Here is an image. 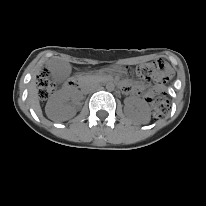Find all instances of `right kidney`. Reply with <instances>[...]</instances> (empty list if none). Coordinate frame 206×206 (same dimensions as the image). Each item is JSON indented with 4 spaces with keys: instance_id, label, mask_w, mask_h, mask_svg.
I'll return each mask as SVG.
<instances>
[{
    "instance_id": "obj_1",
    "label": "right kidney",
    "mask_w": 206,
    "mask_h": 206,
    "mask_svg": "<svg viewBox=\"0 0 206 206\" xmlns=\"http://www.w3.org/2000/svg\"><path fill=\"white\" fill-rule=\"evenodd\" d=\"M78 93L73 92H57L47 102L45 111L47 116L55 121L67 120L75 115V110L67 104L69 99L76 100Z\"/></svg>"
}]
</instances>
